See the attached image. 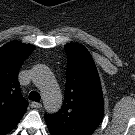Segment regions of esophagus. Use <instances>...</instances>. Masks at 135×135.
<instances>
[{"instance_id":"esophagus-1","label":"esophagus","mask_w":135,"mask_h":135,"mask_svg":"<svg viewBox=\"0 0 135 135\" xmlns=\"http://www.w3.org/2000/svg\"><path fill=\"white\" fill-rule=\"evenodd\" d=\"M31 106H32L33 108H40V107H41V104H40V103H37V102H32V103H31Z\"/></svg>"}]
</instances>
